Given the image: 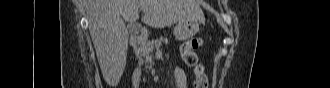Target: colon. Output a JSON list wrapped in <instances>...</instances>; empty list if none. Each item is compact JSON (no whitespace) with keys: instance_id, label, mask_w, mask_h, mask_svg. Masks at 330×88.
<instances>
[{"instance_id":"obj_1","label":"colon","mask_w":330,"mask_h":88,"mask_svg":"<svg viewBox=\"0 0 330 88\" xmlns=\"http://www.w3.org/2000/svg\"><path fill=\"white\" fill-rule=\"evenodd\" d=\"M201 43L200 38H192L186 41L181 47V54L184 63L192 69L195 75V88H208V77L196 53Z\"/></svg>"}]
</instances>
